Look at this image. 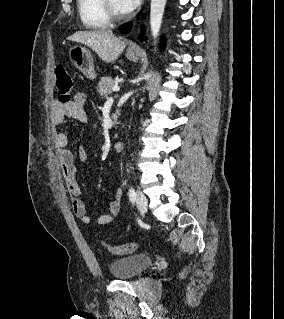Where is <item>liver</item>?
Returning a JSON list of instances; mask_svg holds the SVG:
<instances>
[{"label":"liver","instance_id":"6515ba94","mask_svg":"<svg viewBox=\"0 0 284 319\" xmlns=\"http://www.w3.org/2000/svg\"><path fill=\"white\" fill-rule=\"evenodd\" d=\"M68 40L87 45L106 63L116 60L127 45L110 30L78 31Z\"/></svg>","mask_w":284,"mask_h":319}]
</instances>
